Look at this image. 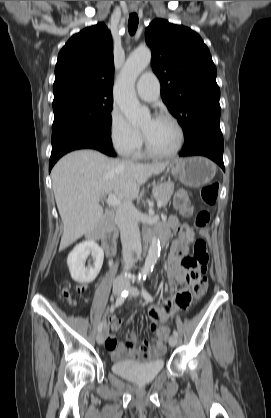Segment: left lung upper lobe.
<instances>
[{
    "label": "left lung upper lobe",
    "mask_w": 271,
    "mask_h": 418,
    "mask_svg": "<svg viewBox=\"0 0 271 418\" xmlns=\"http://www.w3.org/2000/svg\"><path fill=\"white\" fill-rule=\"evenodd\" d=\"M145 38L162 99L185 137L197 127L219 125L217 71L201 37L190 28L156 19L146 28Z\"/></svg>",
    "instance_id": "5c2ea615"
}]
</instances>
